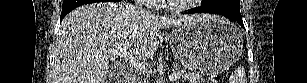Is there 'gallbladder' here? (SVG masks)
Wrapping results in <instances>:
<instances>
[{
    "label": "gallbladder",
    "instance_id": "1",
    "mask_svg": "<svg viewBox=\"0 0 307 83\" xmlns=\"http://www.w3.org/2000/svg\"><path fill=\"white\" fill-rule=\"evenodd\" d=\"M109 75V74H108ZM109 83H112V77L107 79Z\"/></svg>",
    "mask_w": 307,
    "mask_h": 83
}]
</instances>
